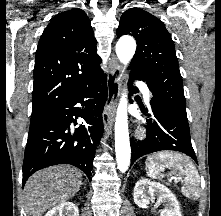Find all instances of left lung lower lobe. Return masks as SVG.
Returning <instances> with one entry per match:
<instances>
[{"mask_svg":"<svg viewBox=\"0 0 221 216\" xmlns=\"http://www.w3.org/2000/svg\"><path fill=\"white\" fill-rule=\"evenodd\" d=\"M131 79L142 80L138 74L131 73ZM131 92H138V88L129 83ZM150 110L148 114L143 111L149 126L147 128V137L143 141L134 142L131 140L132 162L139 157L162 150H174L189 155L197 163V158L193 150L188 121H185L165 109L158 102L150 101Z\"/></svg>","mask_w":221,"mask_h":216,"instance_id":"0a47b994","label":"left lung lower lobe"}]
</instances>
